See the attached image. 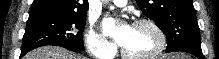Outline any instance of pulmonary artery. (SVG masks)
I'll use <instances>...</instances> for the list:
<instances>
[{"label":"pulmonary artery","instance_id":"pulmonary-artery-1","mask_svg":"<svg viewBox=\"0 0 219 59\" xmlns=\"http://www.w3.org/2000/svg\"><path fill=\"white\" fill-rule=\"evenodd\" d=\"M113 3L119 7H123L127 4L126 0H114Z\"/></svg>","mask_w":219,"mask_h":59}]
</instances>
